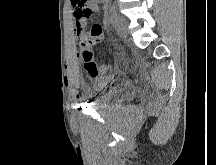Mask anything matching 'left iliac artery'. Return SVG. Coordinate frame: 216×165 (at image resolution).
<instances>
[{
	"label": "left iliac artery",
	"mask_w": 216,
	"mask_h": 165,
	"mask_svg": "<svg viewBox=\"0 0 216 165\" xmlns=\"http://www.w3.org/2000/svg\"><path fill=\"white\" fill-rule=\"evenodd\" d=\"M117 18V12H116V9L115 7H112L111 8V11H110V19H111V22L114 23L115 20Z\"/></svg>",
	"instance_id": "44dca946"
}]
</instances>
